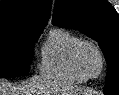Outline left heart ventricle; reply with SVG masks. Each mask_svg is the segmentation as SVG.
<instances>
[{
    "label": "left heart ventricle",
    "instance_id": "b2bd125f",
    "mask_svg": "<svg viewBox=\"0 0 119 95\" xmlns=\"http://www.w3.org/2000/svg\"><path fill=\"white\" fill-rule=\"evenodd\" d=\"M80 61L84 70L91 75L99 72L101 61L96 50L90 46H85L80 53Z\"/></svg>",
    "mask_w": 119,
    "mask_h": 95
}]
</instances>
